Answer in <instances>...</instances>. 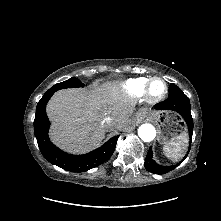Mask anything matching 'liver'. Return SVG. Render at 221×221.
<instances>
[{"instance_id": "1", "label": "liver", "mask_w": 221, "mask_h": 221, "mask_svg": "<svg viewBox=\"0 0 221 221\" xmlns=\"http://www.w3.org/2000/svg\"><path fill=\"white\" fill-rule=\"evenodd\" d=\"M134 105L135 102L122 95L115 85L57 91L46 108L52 122L50 137L68 152L91 151L100 145L107 131L125 130L131 126ZM106 117L115 122L110 130L102 125Z\"/></svg>"}]
</instances>
